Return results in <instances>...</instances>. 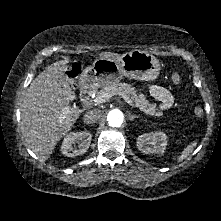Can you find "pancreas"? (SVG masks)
<instances>
[{
    "mask_svg": "<svg viewBox=\"0 0 221 221\" xmlns=\"http://www.w3.org/2000/svg\"><path fill=\"white\" fill-rule=\"evenodd\" d=\"M120 93L126 94L131 99L135 107H138L145 114L154 117H161L163 115L161 111L157 110L156 104L149 103L143 94H137L136 89L127 83H113L106 86L97 92V97L103 94H107L112 97L119 95Z\"/></svg>",
    "mask_w": 221,
    "mask_h": 221,
    "instance_id": "obj_1",
    "label": "pancreas"
}]
</instances>
